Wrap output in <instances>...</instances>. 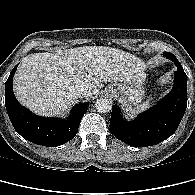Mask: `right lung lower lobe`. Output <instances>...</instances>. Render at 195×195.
<instances>
[{"instance_id": "obj_1", "label": "right lung lower lobe", "mask_w": 195, "mask_h": 195, "mask_svg": "<svg viewBox=\"0 0 195 195\" xmlns=\"http://www.w3.org/2000/svg\"><path fill=\"white\" fill-rule=\"evenodd\" d=\"M17 66L5 84V106L14 129L26 140L42 146L56 147L73 139L89 103L76 105L65 121L34 115L17 101L13 93L12 79Z\"/></svg>"}]
</instances>
